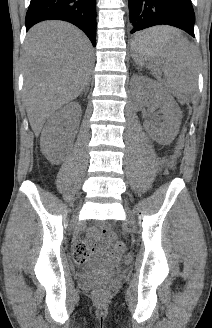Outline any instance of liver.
Wrapping results in <instances>:
<instances>
[{
	"label": "liver",
	"mask_w": 212,
	"mask_h": 328,
	"mask_svg": "<svg viewBox=\"0 0 212 328\" xmlns=\"http://www.w3.org/2000/svg\"><path fill=\"white\" fill-rule=\"evenodd\" d=\"M92 54L89 39L69 23L45 21L30 29L23 53L24 98L35 135L87 87Z\"/></svg>",
	"instance_id": "6515ba94"
}]
</instances>
